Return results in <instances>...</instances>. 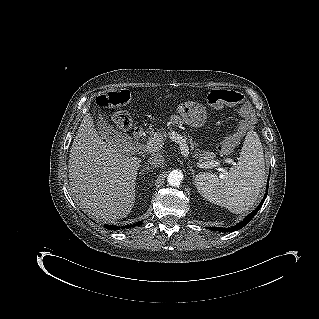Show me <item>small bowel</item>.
<instances>
[{
  "instance_id": "small-bowel-1",
  "label": "small bowel",
  "mask_w": 319,
  "mask_h": 319,
  "mask_svg": "<svg viewBox=\"0 0 319 319\" xmlns=\"http://www.w3.org/2000/svg\"><path fill=\"white\" fill-rule=\"evenodd\" d=\"M172 121H173V123H175V124H179V123H180V119H179L177 116H174V117L172 118Z\"/></svg>"
}]
</instances>
